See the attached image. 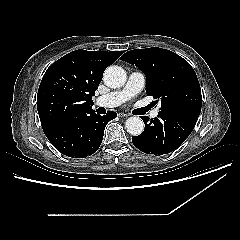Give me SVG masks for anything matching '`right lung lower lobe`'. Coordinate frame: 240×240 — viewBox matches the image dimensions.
Here are the masks:
<instances>
[{"label": "right lung lower lobe", "mask_w": 240, "mask_h": 240, "mask_svg": "<svg viewBox=\"0 0 240 240\" xmlns=\"http://www.w3.org/2000/svg\"><path fill=\"white\" fill-rule=\"evenodd\" d=\"M116 116L113 111L103 116L93 111L65 122L45 135L62 154L73 158H85L97 151L106 124Z\"/></svg>", "instance_id": "98d812e1"}]
</instances>
